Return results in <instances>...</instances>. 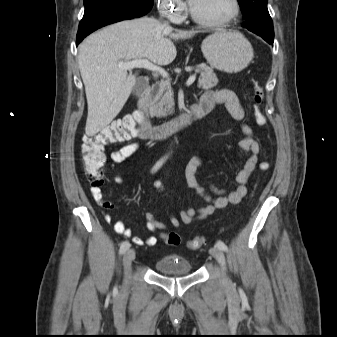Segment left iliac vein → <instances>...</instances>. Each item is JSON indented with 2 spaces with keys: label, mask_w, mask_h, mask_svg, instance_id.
I'll list each match as a JSON object with an SVG mask.
<instances>
[{
  "label": "left iliac vein",
  "mask_w": 337,
  "mask_h": 337,
  "mask_svg": "<svg viewBox=\"0 0 337 337\" xmlns=\"http://www.w3.org/2000/svg\"><path fill=\"white\" fill-rule=\"evenodd\" d=\"M210 254L218 261L223 271V280L226 285L231 283L230 279L226 276V259L223 252L218 248H211Z\"/></svg>",
  "instance_id": "left-iliac-vein-1"
}]
</instances>
